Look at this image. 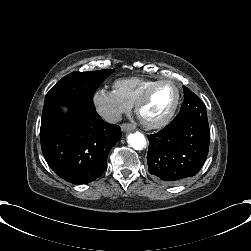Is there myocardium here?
<instances>
[{
  "label": "myocardium",
  "instance_id": "myocardium-1",
  "mask_svg": "<svg viewBox=\"0 0 251 251\" xmlns=\"http://www.w3.org/2000/svg\"><path fill=\"white\" fill-rule=\"evenodd\" d=\"M163 82H174L177 84L178 90H179L177 103L174 106V108L171 110V112L164 119L158 122H148L142 118L141 111L143 107L146 105V103L148 102V100L150 99L153 91ZM184 93H185V86L183 85V83L177 82L172 78L157 79L146 88L142 96L138 99L137 103L135 104L136 115L139 118L142 125L147 129L163 128L167 126L173 120V118L175 117L179 109L181 108V105L184 100Z\"/></svg>",
  "mask_w": 251,
  "mask_h": 251
}]
</instances>
